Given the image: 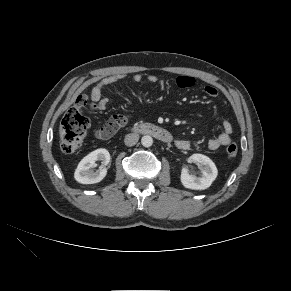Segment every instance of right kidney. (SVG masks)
<instances>
[{
	"mask_svg": "<svg viewBox=\"0 0 291 291\" xmlns=\"http://www.w3.org/2000/svg\"><path fill=\"white\" fill-rule=\"evenodd\" d=\"M97 161H102V166L93 171ZM110 162V154L106 149H97L85 156L75 170V180L81 184H94L100 182L107 174L106 165Z\"/></svg>",
	"mask_w": 291,
	"mask_h": 291,
	"instance_id": "ca27d5eb",
	"label": "right kidney"
}]
</instances>
